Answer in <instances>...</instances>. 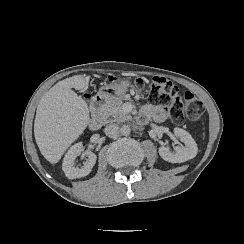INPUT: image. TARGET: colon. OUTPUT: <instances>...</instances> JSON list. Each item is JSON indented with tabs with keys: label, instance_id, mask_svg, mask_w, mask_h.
I'll list each match as a JSON object with an SVG mask.
<instances>
[{
	"label": "colon",
	"instance_id": "colon-1",
	"mask_svg": "<svg viewBox=\"0 0 244 244\" xmlns=\"http://www.w3.org/2000/svg\"><path fill=\"white\" fill-rule=\"evenodd\" d=\"M148 84L150 93L147 100L152 105L164 106L176 119H187L194 121L200 118L203 113L202 102L191 92H186L181 98L177 87L166 81L165 78L155 76L148 81L138 77L135 84L142 86Z\"/></svg>",
	"mask_w": 244,
	"mask_h": 244
}]
</instances>
